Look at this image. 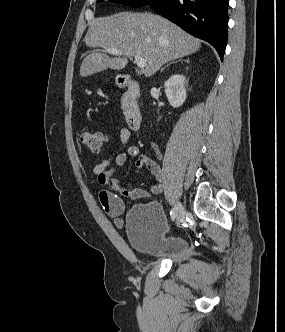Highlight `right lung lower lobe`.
Returning <instances> with one entry per match:
<instances>
[{
	"label": "right lung lower lobe",
	"instance_id": "1",
	"mask_svg": "<svg viewBox=\"0 0 285 332\" xmlns=\"http://www.w3.org/2000/svg\"><path fill=\"white\" fill-rule=\"evenodd\" d=\"M148 5L186 32L212 44L223 58L228 0H153Z\"/></svg>",
	"mask_w": 285,
	"mask_h": 332
}]
</instances>
